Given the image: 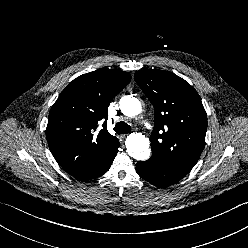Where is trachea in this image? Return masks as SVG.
I'll list each match as a JSON object with an SVG mask.
<instances>
[{"mask_svg": "<svg viewBox=\"0 0 248 248\" xmlns=\"http://www.w3.org/2000/svg\"><path fill=\"white\" fill-rule=\"evenodd\" d=\"M114 130L117 134L129 133L131 131V126L125 122L116 123Z\"/></svg>", "mask_w": 248, "mask_h": 248, "instance_id": "trachea-1", "label": "trachea"}]
</instances>
